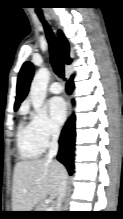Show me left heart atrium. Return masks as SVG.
<instances>
[{"label": "left heart atrium", "instance_id": "39dd6f15", "mask_svg": "<svg viewBox=\"0 0 123 219\" xmlns=\"http://www.w3.org/2000/svg\"><path fill=\"white\" fill-rule=\"evenodd\" d=\"M48 107L50 115L54 122L57 124H62L67 114V107L63 98L53 97L52 99H50Z\"/></svg>", "mask_w": 123, "mask_h": 219}]
</instances>
